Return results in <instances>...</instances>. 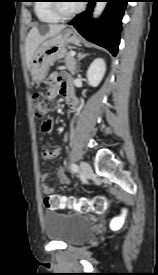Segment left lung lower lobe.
<instances>
[{
  "label": "left lung lower lobe",
  "mask_w": 158,
  "mask_h": 275,
  "mask_svg": "<svg viewBox=\"0 0 158 275\" xmlns=\"http://www.w3.org/2000/svg\"><path fill=\"white\" fill-rule=\"evenodd\" d=\"M108 5L98 20H92L91 11L97 0H90L89 7L77 15L72 24L87 40L109 50L114 56L120 42L121 19L127 0H104Z\"/></svg>",
  "instance_id": "left-lung-lower-lobe-1"
}]
</instances>
